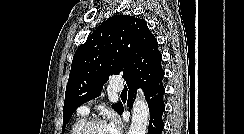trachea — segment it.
<instances>
[{
	"instance_id": "3493384b",
	"label": "trachea",
	"mask_w": 244,
	"mask_h": 134,
	"mask_svg": "<svg viewBox=\"0 0 244 134\" xmlns=\"http://www.w3.org/2000/svg\"><path fill=\"white\" fill-rule=\"evenodd\" d=\"M125 95H127V91H123V92L121 93V96H125Z\"/></svg>"
}]
</instances>
